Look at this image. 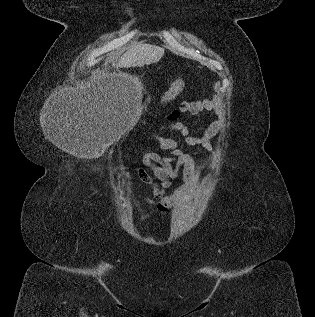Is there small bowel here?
I'll return each mask as SVG.
<instances>
[{"mask_svg": "<svg viewBox=\"0 0 315 317\" xmlns=\"http://www.w3.org/2000/svg\"><path fill=\"white\" fill-rule=\"evenodd\" d=\"M206 111H214L220 114L216 102L203 99L200 101H185L178 109L173 110L167 115L168 124L164 128L178 132L189 147H201L210 152H214L212 139L224 128L222 119L211 122L201 136L192 135L188 128L178 119L182 113H189L193 116H200ZM153 139L158 142L162 150L171 152L170 156H161L153 151H145L142 156L144 167L137 169L139 179L150 185L151 195L139 194L140 198L155 206V211L168 213L176 201L184 195L189 189V177L193 171V158L184 153L178 145V142L171 138H165L159 132L153 134ZM183 174L185 182L178 187L171 195L166 191L171 187L173 181ZM152 213H146L138 217L139 221L147 220Z\"/></svg>", "mask_w": 315, "mask_h": 317, "instance_id": "1", "label": "small bowel"}]
</instances>
